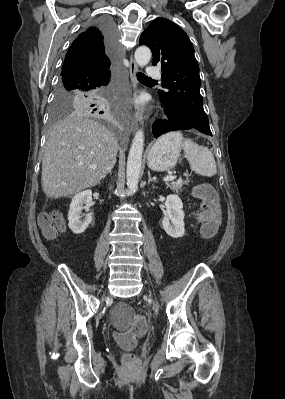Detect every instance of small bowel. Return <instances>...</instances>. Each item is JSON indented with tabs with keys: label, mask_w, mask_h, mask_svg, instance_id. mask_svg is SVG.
Listing matches in <instances>:
<instances>
[{
	"label": "small bowel",
	"mask_w": 285,
	"mask_h": 399,
	"mask_svg": "<svg viewBox=\"0 0 285 399\" xmlns=\"http://www.w3.org/2000/svg\"><path fill=\"white\" fill-rule=\"evenodd\" d=\"M198 220L202 223H205L208 220V216L206 214H204L203 212L200 213V215L198 216ZM118 317V310L116 309L113 312V318H117Z\"/></svg>",
	"instance_id": "1"
}]
</instances>
